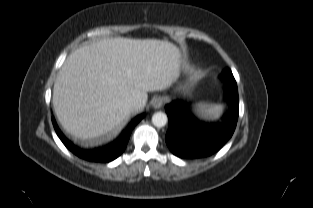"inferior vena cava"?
Returning a JSON list of instances; mask_svg holds the SVG:
<instances>
[{
    "label": "inferior vena cava",
    "mask_w": 313,
    "mask_h": 208,
    "mask_svg": "<svg viewBox=\"0 0 313 208\" xmlns=\"http://www.w3.org/2000/svg\"><path fill=\"white\" fill-rule=\"evenodd\" d=\"M137 106L138 100L135 97L130 96L124 100L121 108L125 113H130L133 112Z\"/></svg>",
    "instance_id": "1"
}]
</instances>
